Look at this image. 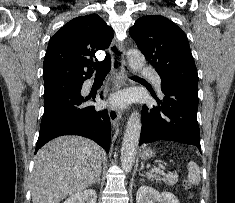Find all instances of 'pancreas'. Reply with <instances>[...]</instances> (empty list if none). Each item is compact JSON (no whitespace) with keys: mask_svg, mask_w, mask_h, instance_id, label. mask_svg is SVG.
<instances>
[{"mask_svg":"<svg viewBox=\"0 0 235 203\" xmlns=\"http://www.w3.org/2000/svg\"><path fill=\"white\" fill-rule=\"evenodd\" d=\"M178 181V177L177 176H172V177H166L164 178V182L168 185H174L176 184Z\"/></svg>","mask_w":235,"mask_h":203,"instance_id":"cf45deb5","label":"pancreas"}]
</instances>
